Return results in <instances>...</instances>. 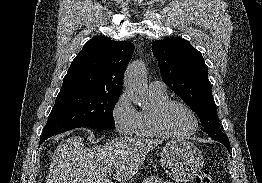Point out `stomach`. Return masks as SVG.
I'll return each mask as SVG.
<instances>
[{
	"label": "stomach",
	"mask_w": 262,
	"mask_h": 183,
	"mask_svg": "<svg viewBox=\"0 0 262 183\" xmlns=\"http://www.w3.org/2000/svg\"><path fill=\"white\" fill-rule=\"evenodd\" d=\"M161 164L170 178L187 182L201 172L204 159L201 151L193 143L183 139H174L163 147Z\"/></svg>",
	"instance_id": "0dacf381"
}]
</instances>
